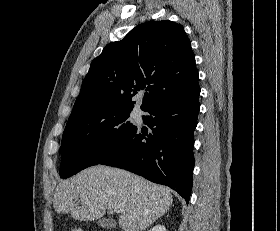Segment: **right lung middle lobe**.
I'll use <instances>...</instances> for the list:
<instances>
[{
  "instance_id": "obj_1",
  "label": "right lung middle lobe",
  "mask_w": 280,
  "mask_h": 231,
  "mask_svg": "<svg viewBox=\"0 0 280 231\" xmlns=\"http://www.w3.org/2000/svg\"><path fill=\"white\" fill-rule=\"evenodd\" d=\"M130 111L99 118L68 119L62 137L60 177L100 164L136 126L127 121Z\"/></svg>"
}]
</instances>
